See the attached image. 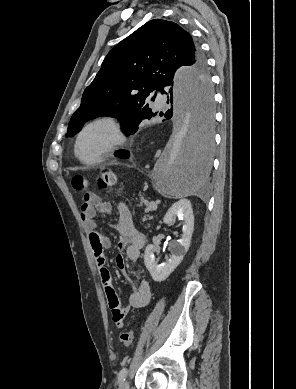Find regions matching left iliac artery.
<instances>
[{
  "instance_id": "obj_1",
  "label": "left iliac artery",
  "mask_w": 296,
  "mask_h": 389,
  "mask_svg": "<svg viewBox=\"0 0 296 389\" xmlns=\"http://www.w3.org/2000/svg\"><path fill=\"white\" fill-rule=\"evenodd\" d=\"M127 374H128L127 368H123V369L119 372L118 380H119V381L125 380Z\"/></svg>"
}]
</instances>
